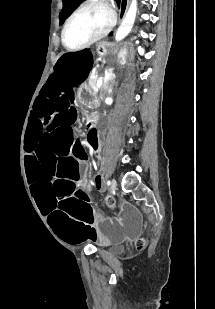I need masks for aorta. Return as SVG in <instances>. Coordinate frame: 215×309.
<instances>
[{"label": "aorta", "mask_w": 215, "mask_h": 309, "mask_svg": "<svg viewBox=\"0 0 215 309\" xmlns=\"http://www.w3.org/2000/svg\"><path fill=\"white\" fill-rule=\"evenodd\" d=\"M137 0H131L130 6L116 32L115 40H122L130 32L136 18Z\"/></svg>", "instance_id": "obj_1"}]
</instances>
